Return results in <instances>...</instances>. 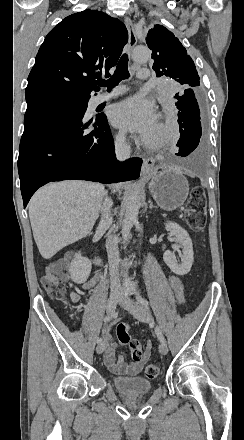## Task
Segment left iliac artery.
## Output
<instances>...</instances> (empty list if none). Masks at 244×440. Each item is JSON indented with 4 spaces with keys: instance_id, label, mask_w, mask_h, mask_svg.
Segmentation results:
<instances>
[{
    "instance_id": "1",
    "label": "left iliac artery",
    "mask_w": 244,
    "mask_h": 440,
    "mask_svg": "<svg viewBox=\"0 0 244 440\" xmlns=\"http://www.w3.org/2000/svg\"><path fill=\"white\" fill-rule=\"evenodd\" d=\"M136 299H137L138 303H139L142 307H144V308H148V307H149V303H148V301H147L145 298H143L142 296H140L139 294L136 295ZM155 333H156L158 339L160 340V342L166 344V339H165V337L163 336V334H162V332H161V330H160L159 327H156V328H155Z\"/></svg>"
}]
</instances>
